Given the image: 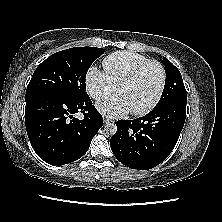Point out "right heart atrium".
<instances>
[{"instance_id":"1","label":"right heart atrium","mask_w":222,"mask_h":222,"mask_svg":"<svg viewBox=\"0 0 222 222\" xmlns=\"http://www.w3.org/2000/svg\"><path fill=\"white\" fill-rule=\"evenodd\" d=\"M88 94L95 100H100L116 91L110 77L96 67H91L85 77Z\"/></svg>"}]
</instances>
